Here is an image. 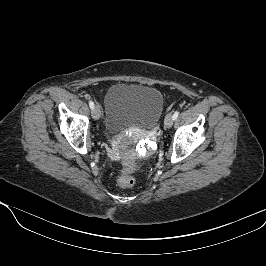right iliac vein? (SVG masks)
Returning a JSON list of instances; mask_svg holds the SVG:
<instances>
[{"label": "right iliac vein", "instance_id": "1", "mask_svg": "<svg viewBox=\"0 0 266 266\" xmlns=\"http://www.w3.org/2000/svg\"><path fill=\"white\" fill-rule=\"evenodd\" d=\"M91 114H92V117L93 119L95 120H98L101 116V110H100V107L98 105H96L92 111H91Z\"/></svg>", "mask_w": 266, "mask_h": 266}]
</instances>
